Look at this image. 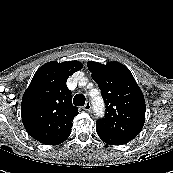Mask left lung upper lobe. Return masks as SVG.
Instances as JSON below:
<instances>
[{"mask_svg":"<svg viewBox=\"0 0 173 173\" xmlns=\"http://www.w3.org/2000/svg\"><path fill=\"white\" fill-rule=\"evenodd\" d=\"M87 66L106 104L105 117L97 121L96 129L131 141L142 130L146 111L143 93L132 73L119 62L102 65L90 61Z\"/></svg>","mask_w":173,"mask_h":173,"instance_id":"1","label":"left lung upper lobe"}]
</instances>
